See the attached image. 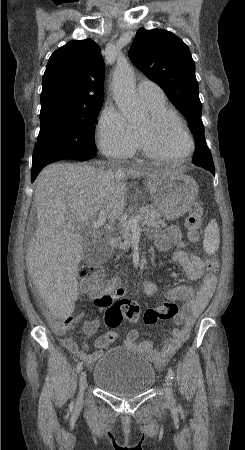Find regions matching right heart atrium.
Here are the masks:
<instances>
[{"label":"right heart atrium","instance_id":"d8ad5b80","mask_svg":"<svg viewBox=\"0 0 245 450\" xmlns=\"http://www.w3.org/2000/svg\"><path fill=\"white\" fill-rule=\"evenodd\" d=\"M97 145L108 157L125 159L135 153L139 145L136 130L114 107H106L97 126Z\"/></svg>","mask_w":245,"mask_h":450}]
</instances>
